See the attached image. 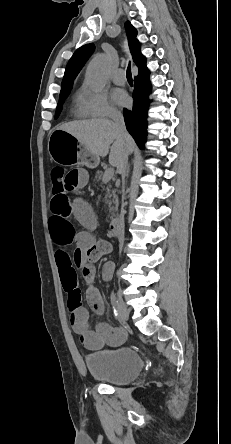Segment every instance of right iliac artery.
<instances>
[{"instance_id": "1", "label": "right iliac artery", "mask_w": 231, "mask_h": 444, "mask_svg": "<svg viewBox=\"0 0 231 444\" xmlns=\"http://www.w3.org/2000/svg\"><path fill=\"white\" fill-rule=\"evenodd\" d=\"M111 303H112L113 308H114V317L116 319H118L119 318V312H118V309H117L118 301H117L114 293L111 294Z\"/></svg>"}]
</instances>
